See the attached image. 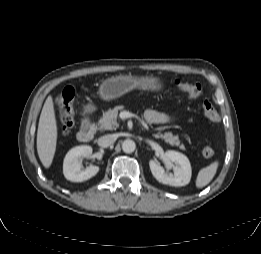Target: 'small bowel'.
Listing matches in <instances>:
<instances>
[{"label":"small bowel","instance_id":"c3829d8e","mask_svg":"<svg viewBox=\"0 0 261 254\" xmlns=\"http://www.w3.org/2000/svg\"><path fill=\"white\" fill-rule=\"evenodd\" d=\"M144 118L150 124H164L170 121V117L167 114L153 109L147 110Z\"/></svg>","mask_w":261,"mask_h":254}]
</instances>
